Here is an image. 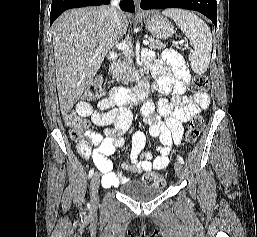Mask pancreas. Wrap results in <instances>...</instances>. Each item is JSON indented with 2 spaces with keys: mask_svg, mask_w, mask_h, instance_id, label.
Instances as JSON below:
<instances>
[{
  "mask_svg": "<svg viewBox=\"0 0 257 237\" xmlns=\"http://www.w3.org/2000/svg\"><path fill=\"white\" fill-rule=\"evenodd\" d=\"M149 48L154 50H160L166 48V44L159 40L149 38ZM133 65V52L131 50L124 51L118 62H114L110 66V72L112 76L124 84H128L132 72Z\"/></svg>",
  "mask_w": 257,
  "mask_h": 237,
  "instance_id": "cf45deb5",
  "label": "pancreas"
}]
</instances>
